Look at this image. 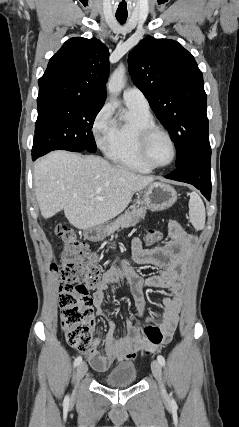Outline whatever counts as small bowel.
Masks as SVG:
<instances>
[{"label": "small bowel", "instance_id": "small-bowel-1", "mask_svg": "<svg viewBox=\"0 0 239 427\" xmlns=\"http://www.w3.org/2000/svg\"><path fill=\"white\" fill-rule=\"evenodd\" d=\"M168 228L170 240L162 247L144 249L139 238H135L132 242L134 260L139 264H151L160 268L159 273L150 275L145 280H140L126 271V262H121L103 274L101 282L93 294V301L97 315L105 317L108 321L104 353L102 354L98 349L99 340L97 338L93 339L92 350L85 353L95 370L106 371L116 360L121 361V364L126 366L136 357L137 351L143 346L152 350L157 349V346H152L141 337L140 327L132 321L126 322L125 334L115 337V322L105 315L103 307L106 290L119 280L121 272H125L131 283L135 306L140 315H143L146 309L143 296L144 288H165L170 291L171 295L158 301L157 305L161 308L165 343L172 339L182 304L181 282L191 253L192 238L175 220L169 221Z\"/></svg>", "mask_w": 239, "mask_h": 427}]
</instances>
